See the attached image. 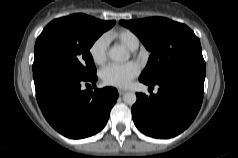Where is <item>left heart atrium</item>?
<instances>
[{
  "label": "left heart atrium",
  "instance_id": "obj_1",
  "mask_svg": "<svg viewBox=\"0 0 238 158\" xmlns=\"http://www.w3.org/2000/svg\"><path fill=\"white\" fill-rule=\"evenodd\" d=\"M139 71V66L134 62L111 63L102 69L101 77L105 84L123 88L130 84Z\"/></svg>",
  "mask_w": 238,
  "mask_h": 158
}]
</instances>
